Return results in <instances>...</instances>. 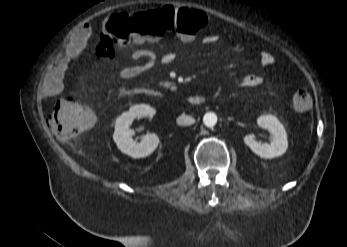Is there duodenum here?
I'll return each instance as SVG.
<instances>
[{
	"label": "duodenum",
	"mask_w": 347,
	"mask_h": 247,
	"mask_svg": "<svg viewBox=\"0 0 347 247\" xmlns=\"http://www.w3.org/2000/svg\"><path fill=\"white\" fill-rule=\"evenodd\" d=\"M136 94L146 95V96L156 97V98L161 97V94L158 91L152 90V89L138 91V92H136ZM185 101L190 106H199L205 102V97L202 95H191V96H188L185 99Z\"/></svg>",
	"instance_id": "obj_1"
}]
</instances>
